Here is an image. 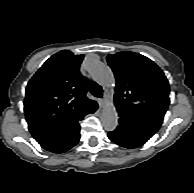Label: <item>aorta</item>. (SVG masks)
<instances>
[{"mask_svg":"<svg viewBox=\"0 0 194 193\" xmlns=\"http://www.w3.org/2000/svg\"><path fill=\"white\" fill-rule=\"evenodd\" d=\"M88 71L91 77L104 87H112L115 84L112 70L101 62L91 61L89 63ZM101 122L107 131H113L117 127L118 115L116 108L112 104L103 108Z\"/></svg>","mask_w":194,"mask_h":193,"instance_id":"obj_1","label":"aorta"}]
</instances>
